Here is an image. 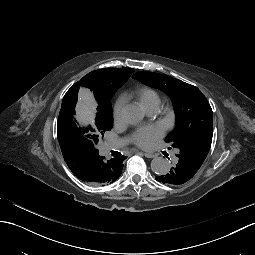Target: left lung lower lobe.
I'll use <instances>...</instances> for the list:
<instances>
[{"label": "left lung lower lobe", "mask_w": 255, "mask_h": 255, "mask_svg": "<svg viewBox=\"0 0 255 255\" xmlns=\"http://www.w3.org/2000/svg\"><path fill=\"white\" fill-rule=\"evenodd\" d=\"M174 168L175 169L170 172L165 173L164 176L158 175L156 180L164 184H171L174 182L181 187L186 186L193 177L192 172L188 169H184L179 163H176Z\"/></svg>", "instance_id": "obj_1"}]
</instances>
